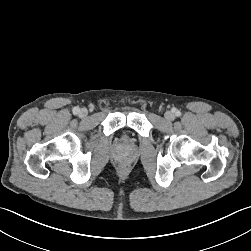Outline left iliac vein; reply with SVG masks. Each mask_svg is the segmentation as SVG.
<instances>
[{"instance_id": "obj_1", "label": "left iliac vein", "mask_w": 251, "mask_h": 251, "mask_svg": "<svg viewBox=\"0 0 251 251\" xmlns=\"http://www.w3.org/2000/svg\"><path fill=\"white\" fill-rule=\"evenodd\" d=\"M165 118H166L168 121H171V120H173V119L175 118V116H174V114H173L172 112L167 111V112L165 113Z\"/></svg>"}]
</instances>
